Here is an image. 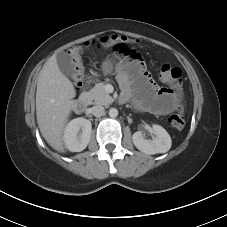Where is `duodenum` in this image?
I'll return each instance as SVG.
<instances>
[{"mask_svg":"<svg viewBox=\"0 0 227 227\" xmlns=\"http://www.w3.org/2000/svg\"><path fill=\"white\" fill-rule=\"evenodd\" d=\"M89 103V96L87 93H82L80 94L73 102V110L76 113H80L82 112L85 107L87 106V104Z\"/></svg>","mask_w":227,"mask_h":227,"instance_id":"410a0bca","label":"duodenum"}]
</instances>
